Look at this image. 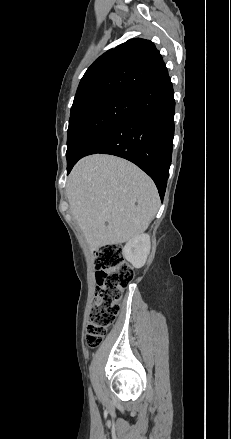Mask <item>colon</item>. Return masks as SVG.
I'll return each instance as SVG.
<instances>
[{"instance_id":"colon-1","label":"colon","mask_w":231,"mask_h":439,"mask_svg":"<svg viewBox=\"0 0 231 439\" xmlns=\"http://www.w3.org/2000/svg\"><path fill=\"white\" fill-rule=\"evenodd\" d=\"M98 289L89 314L86 342L89 347L101 345L108 328L115 322L124 290L133 279V271L117 245H104L96 253Z\"/></svg>"}]
</instances>
